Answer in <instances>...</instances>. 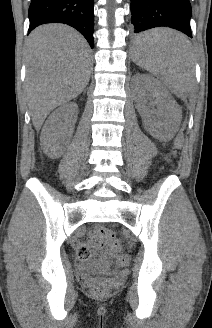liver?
I'll return each mask as SVG.
<instances>
[{"instance_id": "obj_1", "label": "liver", "mask_w": 212, "mask_h": 328, "mask_svg": "<svg viewBox=\"0 0 212 328\" xmlns=\"http://www.w3.org/2000/svg\"><path fill=\"white\" fill-rule=\"evenodd\" d=\"M26 62L28 106L39 131L53 109L76 98L87 86L90 49L75 29L62 24L43 25L28 38Z\"/></svg>"}]
</instances>
